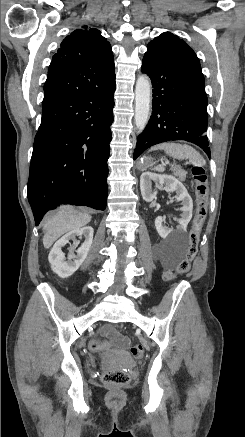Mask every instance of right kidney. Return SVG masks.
<instances>
[{
	"label": "right kidney",
	"mask_w": 245,
	"mask_h": 437,
	"mask_svg": "<svg viewBox=\"0 0 245 437\" xmlns=\"http://www.w3.org/2000/svg\"><path fill=\"white\" fill-rule=\"evenodd\" d=\"M94 230L91 226H85L72 230L60 238L51 249L48 260L51 264V268L54 273H56L61 278H67L71 276L78 268L82 265L86 259L89 249L92 244ZM84 237L83 244L74 254L75 246L78 244L76 237ZM74 241V246L69 250L68 257L66 259L62 248L69 243V240Z\"/></svg>",
	"instance_id": "right-kidney-1"
}]
</instances>
